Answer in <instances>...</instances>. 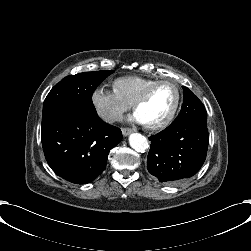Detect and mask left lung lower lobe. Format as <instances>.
<instances>
[{
    "mask_svg": "<svg viewBox=\"0 0 251 251\" xmlns=\"http://www.w3.org/2000/svg\"><path fill=\"white\" fill-rule=\"evenodd\" d=\"M147 169L160 182L175 184L194 176L208 148L205 120H186L151 136Z\"/></svg>",
    "mask_w": 251,
    "mask_h": 251,
    "instance_id": "left-lung-lower-lobe-1",
    "label": "left lung lower lobe"
}]
</instances>
